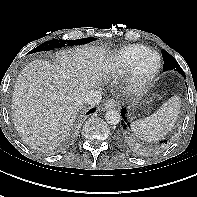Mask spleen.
Masks as SVG:
<instances>
[{
  "label": "spleen",
  "mask_w": 197,
  "mask_h": 197,
  "mask_svg": "<svg viewBox=\"0 0 197 197\" xmlns=\"http://www.w3.org/2000/svg\"><path fill=\"white\" fill-rule=\"evenodd\" d=\"M180 98L171 97L154 114L132 123L133 131L145 139L156 141L174 127L180 113Z\"/></svg>",
  "instance_id": "1"
}]
</instances>
